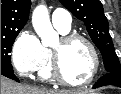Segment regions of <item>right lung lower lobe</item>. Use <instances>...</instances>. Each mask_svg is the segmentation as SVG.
<instances>
[{
    "instance_id": "right-lung-lower-lobe-1",
    "label": "right lung lower lobe",
    "mask_w": 121,
    "mask_h": 94,
    "mask_svg": "<svg viewBox=\"0 0 121 94\" xmlns=\"http://www.w3.org/2000/svg\"><path fill=\"white\" fill-rule=\"evenodd\" d=\"M1 75H4L10 79H13V80L19 82L18 78L14 75L13 72L1 71Z\"/></svg>"
}]
</instances>
